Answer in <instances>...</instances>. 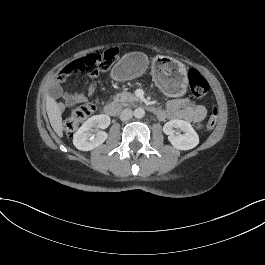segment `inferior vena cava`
<instances>
[{
    "instance_id": "obj_1",
    "label": "inferior vena cava",
    "mask_w": 265,
    "mask_h": 265,
    "mask_svg": "<svg viewBox=\"0 0 265 265\" xmlns=\"http://www.w3.org/2000/svg\"><path fill=\"white\" fill-rule=\"evenodd\" d=\"M133 116V112L131 109L126 108L124 110H122L121 114H120V120L121 121H128L132 118Z\"/></svg>"
}]
</instances>
